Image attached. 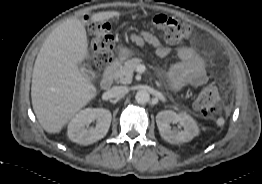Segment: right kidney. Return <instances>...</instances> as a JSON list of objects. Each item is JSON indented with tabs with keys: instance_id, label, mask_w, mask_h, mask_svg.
<instances>
[{
	"instance_id": "obj_1",
	"label": "right kidney",
	"mask_w": 262,
	"mask_h": 184,
	"mask_svg": "<svg viewBox=\"0 0 262 184\" xmlns=\"http://www.w3.org/2000/svg\"><path fill=\"white\" fill-rule=\"evenodd\" d=\"M96 121L94 127L90 123ZM111 112L103 108H87L77 113L68 124V137L71 141L88 145L102 139L108 132Z\"/></svg>"
}]
</instances>
